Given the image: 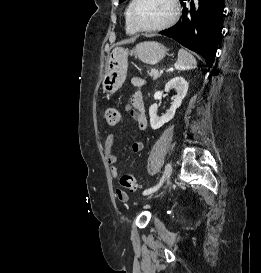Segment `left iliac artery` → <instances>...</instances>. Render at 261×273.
I'll list each match as a JSON object with an SVG mask.
<instances>
[{
  "label": "left iliac artery",
  "mask_w": 261,
  "mask_h": 273,
  "mask_svg": "<svg viewBox=\"0 0 261 273\" xmlns=\"http://www.w3.org/2000/svg\"><path fill=\"white\" fill-rule=\"evenodd\" d=\"M161 181H162V179H161ZM161 181L157 186L144 190L143 195H148V194L153 193L154 191H156L160 187Z\"/></svg>",
  "instance_id": "44dca946"
}]
</instances>
